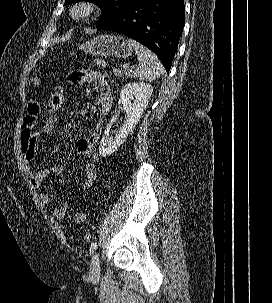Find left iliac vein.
I'll return each instance as SVG.
<instances>
[{
	"instance_id": "4c4485c4",
	"label": "left iliac vein",
	"mask_w": 272,
	"mask_h": 303,
	"mask_svg": "<svg viewBox=\"0 0 272 303\" xmlns=\"http://www.w3.org/2000/svg\"><path fill=\"white\" fill-rule=\"evenodd\" d=\"M100 273V259H99V253H95L92 257L91 263H90V275L91 276H97Z\"/></svg>"
}]
</instances>
